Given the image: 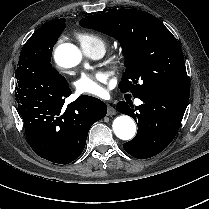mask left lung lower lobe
Instances as JSON below:
<instances>
[{
    "instance_id": "0a47b994",
    "label": "left lung lower lobe",
    "mask_w": 209,
    "mask_h": 209,
    "mask_svg": "<svg viewBox=\"0 0 209 209\" xmlns=\"http://www.w3.org/2000/svg\"><path fill=\"white\" fill-rule=\"evenodd\" d=\"M137 98L143 101L142 105L134 108L120 101L117 110L138 122L135 138L123 144L125 151L135 158L146 159L163 151L174 139L188 105L189 95L151 90Z\"/></svg>"
}]
</instances>
